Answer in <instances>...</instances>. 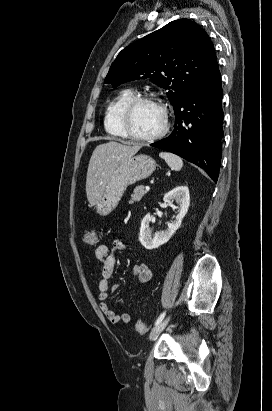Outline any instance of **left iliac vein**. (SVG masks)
Listing matches in <instances>:
<instances>
[{
	"mask_svg": "<svg viewBox=\"0 0 272 411\" xmlns=\"http://www.w3.org/2000/svg\"><path fill=\"white\" fill-rule=\"evenodd\" d=\"M171 316H168L165 318L162 322H160L157 326H155L150 334H149V339L154 340L156 339L160 333L164 330V328L167 326L168 322L170 321Z\"/></svg>",
	"mask_w": 272,
	"mask_h": 411,
	"instance_id": "1",
	"label": "left iliac vein"
}]
</instances>
